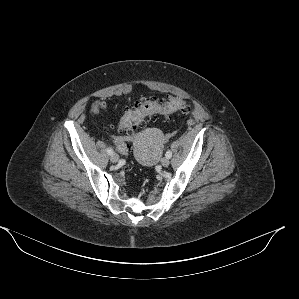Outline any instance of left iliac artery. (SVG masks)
Segmentation results:
<instances>
[{
  "mask_svg": "<svg viewBox=\"0 0 299 299\" xmlns=\"http://www.w3.org/2000/svg\"><path fill=\"white\" fill-rule=\"evenodd\" d=\"M165 156H166L167 158H171V157H172V152H171L170 150H168V151L166 152Z\"/></svg>",
  "mask_w": 299,
  "mask_h": 299,
  "instance_id": "44dca946",
  "label": "left iliac artery"
}]
</instances>
